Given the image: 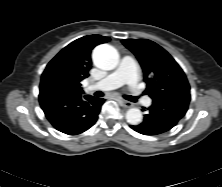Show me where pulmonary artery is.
<instances>
[{
    "label": "pulmonary artery",
    "instance_id": "pulmonary-artery-1",
    "mask_svg": "<svg viewBox=\"0 0 222 187\" xmlns=\"http://www.w3.org/2000/svg\"><path fill=\"white\" fill-rule=\"evenodd\" d=\"M123 84H127L131 94L146 106L151 104V99L145 96L139 87V72L135 61L125 56L119 66L110 72L103 80L94 86L102 90L115 89Z\"/></svg>",
    "mask_w": 222,
    "mask_h": 187
}]
</instances>
